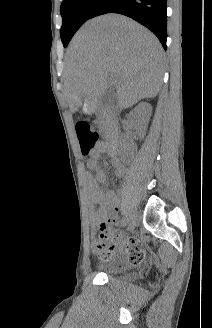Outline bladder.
<instances>
[{"label":"bladder","instance_id":"31cf9c89","mask_svg":"<svg viewBox=\"0 0 212 328\" xmlns=\"http://www.w3.org/2000/svg\"><path fill=\"white\" fill-rule=\"evenodd\" d=\"M98 269L108 277L132 281L137 277L135 272L130 271V266L125 258L113 257L106 263L98 266Z\"/></svg>","mask_w":212,"mask_h":328}]
</instances>
